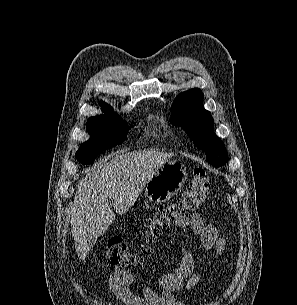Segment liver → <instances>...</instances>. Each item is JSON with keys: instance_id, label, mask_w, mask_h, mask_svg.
Returning <instances> with one entry per match:
<instances>
[{"instance_id": "liver-1", "label": "liver", "mask_w": 297, "mask_h": 305, "mask_svg": "<svg viewBox=\"0 0 297 305\" xmlns=\"http://www.w3.org/2000/svg\"><path fill=\"white\" fill-rule=\"evenodd\" d=\"M172 156L153 150L117 153L80 180L70 220L80 260L90 251L88 240L101 236L115 219L109 200L116 212H127L155 172Z\"/></svg>"}]
</instances>
